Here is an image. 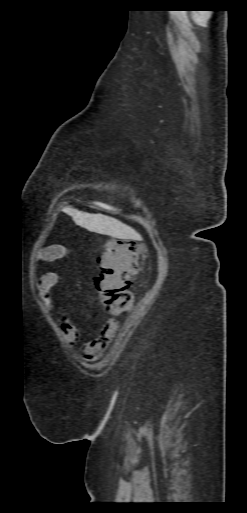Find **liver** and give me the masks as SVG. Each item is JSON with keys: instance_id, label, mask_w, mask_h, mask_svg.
Returning a JSON list of instances; mask_svg holds the SVG:
<instances>
[{"instance_id": "liver-1", "label": "liver", "mask_w": 247, "mask_h": 513, "mask_svg": "<svg viewBox=\"0 0 247 513\" xmlns=\"http://www.w3.org/2000/svg\"><path fill=\"white\" fill-rule=\"evenodd\" d=\"M62 211L70 215L77 225L90 232L119 239H135L139 236L133 228L110 216L82 212L72 206H66Z\"/></svg>"}]
</instances>
